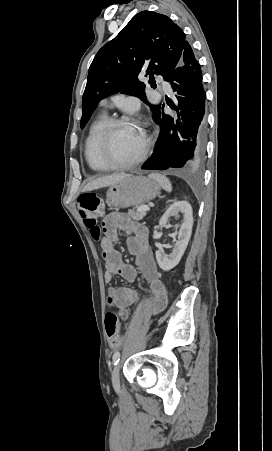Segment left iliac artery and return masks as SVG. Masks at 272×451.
Returning a JSON list of instances; mask_svg holds the SVG:
<instances>
[{
	"label": "left iliac artery",
	"mask_w": 272,
	"mask_h": 451,
	"mask_svg": "<svg viewBox=\"0 0 272 451\" xmlns=\"http://www.w3.org/2000/svg\"><path fill=\"white\" fill-rule=\"evenodd\" d=\"M112 359H113V364L117 365L118 362L120 361V353L118 351L115 352Z\"/></svg>",
	"instance_id": "1"
}]
</instances>
